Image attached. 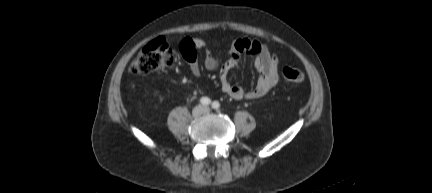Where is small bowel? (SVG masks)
Here are the masks:
<instances>
[{
  "label": "small bowel",
  "mask_w": 432,
  "mask_h": 193,
  "mask_svg": "<svg viewBox=\"0 0 432 193\" xmlns=\"http://www.w3.org/2000/svg\"><path fill=\"white\" fill-rule=\"evenodd\" d=\"M207 42L201 38H185L179 49L186 60L193 77L199 78L201 69L197 51L205 49ZM244 57H249L259 76L256 85L246 91L229 81V72L239 67ZM204 65L209 71H218L221 90L234 99L255 100L264 97L279 81V62L276 54L265 44L256 40L237 39L230 50V57L224 63L206 54Z\"/></svg>",
  "instance_id": "small-bowel-1"
}]
</instances>
